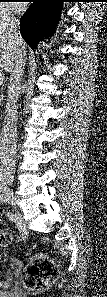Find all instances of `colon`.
I'll list each match as a JSON object with an SVG mask.
<instances>
[{
	"instance_id": "colon-1",
	"label": "colon",
	"mask_w": 107,
	"mask_h": 297,
	"mask_svg": "<svg viewBox=\"0 0 107 297\" xmlns=\"http://www.w3.org/2000/svg\"><path fill=\"white\" fill-rule=\"evenodd\" d=\"M10 242V235L5 233L0 235L1 245L5 246ZM56 274L57 268L52 261L36 256L27 269L24 284L31 291H43L52 283Z\"/></svg>"
}]
</instances>
